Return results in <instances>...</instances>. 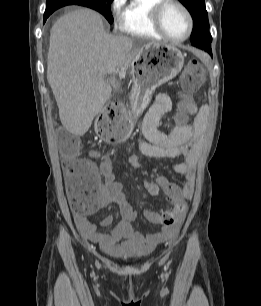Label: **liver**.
<instances>
[{"mask_svg":"<svg viewBox=\"0 0 261 306\" xmlns=\"http://www.w3.org/2000/svg\"><path fill=\"white\" fill-rule=\"evenodd\" d=\"M152 45L160 44L109 34L101 15L91 9L61 16L50 32L47 80L62 125L75 135H84L111 96L105 75L130 66Z\"/></svg>","mask_w":261,"mask_h":306,"instance_id":"obj_1","label":"liver"}]
</instances>
